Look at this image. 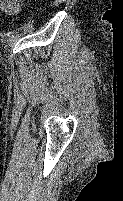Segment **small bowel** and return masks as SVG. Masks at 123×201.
Masks as SVG:
<instances>
[{"label": "small bowel", "mask_w": 123, "mask_h": 201, "mask_svg": "<svg viewBox=\"0 0 123 201\" xmlns=\"http://www.w3.org/2000/svg\"><path fill=\"white\" fill-rule=\"evenodd\" d=\"M23 0H0V11L15 15L19 12Z\"/></svg>", "instance_id": "c3829d8e"}]
</instances>
